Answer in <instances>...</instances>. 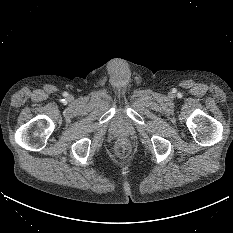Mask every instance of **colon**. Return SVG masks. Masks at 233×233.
Returning <instances> with one entry per match:
<instances>
[{
	"mask_svg": "<svg viewBox=\"0 0 233 233\" xmlns=\"http://www.w3.org/2000/svg\"><path fill=\"white\" fill-rule=\"evenodd\" d=\"M116 152L120 156H126L130 152V146L125 140H120L116 145Z\"/></svg>",
	"mask_w": 233,
	"mask_h": 233,
	"instance_id": "colon-1",
	"label": "colon"
}]
</instances>
